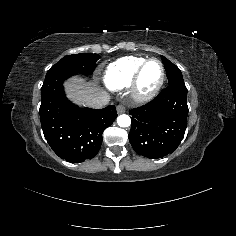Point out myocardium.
I'll return each mask as SVG.
<instances>
[{"instance_id":"myocardium-1","label":"myocardium","mask_w":236,"mask_h":236,"mask_svg":"<svg viewBox=\"0 0 236 236\" xmlns=\"http://www.w3.org/2000/svg\"><path fill=\"white\" fill-rule=\"evenodd\" d=\"M158 62L161 67H162V76L161 79L158 83V85L149 93H142L139 90V80L140 77L142 75V72L144 71L145 67L150 63V62ZM166 80V68L164 63L155 57L152 58H148L146 59L143 63H141V65L138 67V69L136 70L134 77L132 79V82L130 84V94L132 99L140 104H144V103H148L150 101H152L154 98H156V96L159 94V92L161 91L164 83Z\"/></svg>"}]
</instances>
